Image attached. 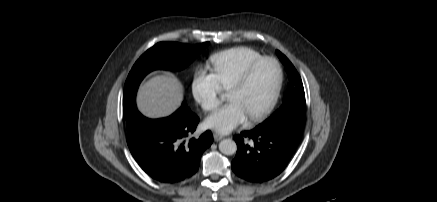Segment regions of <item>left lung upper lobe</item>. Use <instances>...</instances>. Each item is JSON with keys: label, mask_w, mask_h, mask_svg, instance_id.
Here are the masks:
<instances>
[{"label": "left lung upper lobe", "mask_w": 437, "mask_h": 202, "mask_svg": "<svg viewBox=\"0 0 437 202\" xmlns=\"http://www.w3.org/2000/svg\"><path fill=\"white\" fill-rule=\"evenodd\" d=\"M277 56L286 67L289 85L285 92L283 104L259 127L283 125L301 133L306 113L305 93L301 78L292 63L280 51Z\"/></svg>", "instance_id": "1"}]
</instances>
